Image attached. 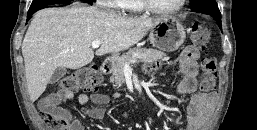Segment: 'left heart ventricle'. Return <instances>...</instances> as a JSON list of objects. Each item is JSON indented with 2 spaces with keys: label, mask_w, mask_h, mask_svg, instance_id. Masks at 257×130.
<instances>
[{
  "label": "left heart ventricle",
  "mask_w": 257,
  "mask_h": 130,
  "mask_svg": "<svg viewBox=\"0 0 257 130\" xmlns=\"http://www.w3.org/2000/svg\"><path fill=\"white\" fill-rule=\"evenodd\" d=\"M152 3L162 9H170L178 5L180 0H151Z\"/></svg>",
  "instance_id": "b2bd125f"
}]
</instances>
